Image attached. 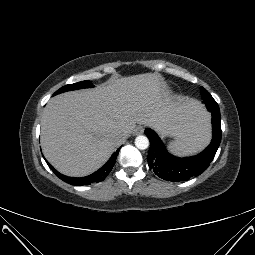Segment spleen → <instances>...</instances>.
Instances as JSON below:
<instances>
[{"mask_svg": "<svg viewBox=\"0 0 255 255\" xmlns=\"http://www.w3.org/2000/svg\"><path fill=\"white\" fill-rule=\"evenodd\" d=\"M210 138V116L204 111L186 133L175 137L168 146L178 155L194 154L204 149Z\"/></svg>", "mask_w": 255, "mask_h": 255, "instance_id": "obj_1", "label": "spleen"}]
</instances>
